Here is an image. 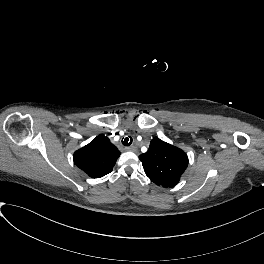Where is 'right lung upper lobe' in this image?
<instances>
[{
    "label": "right lung upper lobe",
    "instance_id": "1",
    "mask_svg": "<svg viewBox=\"0 0 264 264\" xmlns=\"http://www.w3.org/2000/svg\"><path fill=\"white\" fill-rule=\"evenodd\" d=\"M120 156L118 149L104 135L97 136L89 144L74 153V163L91 178L110 173Z\"/></svg>",
    "mask_w": 264,
    "mask_h": 264
}]
</instances>
